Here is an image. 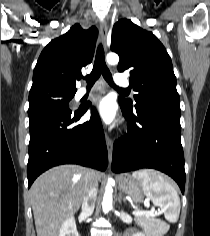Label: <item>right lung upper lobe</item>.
Wrapping results in <instances>:
<instances>
[{
    "instance_id": "obj_1",
    "label": "right lung upper lobe",
    "mask_w": 210,
    "mask_h": 236,
    "mask_svg": "<svg viewBox=\"0 0 210 236\" xmlns=\"http://www.w3.org/2000/svg\"><path fill=\"white\" fill-rule=\"evenodd\" d=\"M97 36L96 27L84 30L75 24L67 33L53 39L43 49L34 68L29 101L48 90L75 93L76 76L92 61Z\"/></svg>"
}]
</instances>
